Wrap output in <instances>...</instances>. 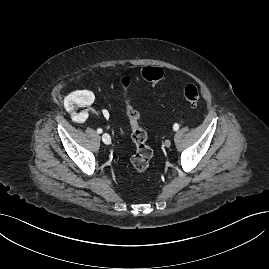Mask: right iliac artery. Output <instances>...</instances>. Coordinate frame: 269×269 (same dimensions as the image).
<instances>
[{"instance_id": "82829eb1", "label": "right iliac artery", "mask_w": 269, "mask_h": 269, "mask_svg": "<svg viewBox=\"0 0 269 269\" xmlns=\"http://www.w3.org/2000/svg\"><path fill=\"white\" fill-rule=\"evenodd\" d=\"M97 132L100 134V133L103 132V130H102L101 128H98V129H97Z\"/></svg>"}]
</instances>
